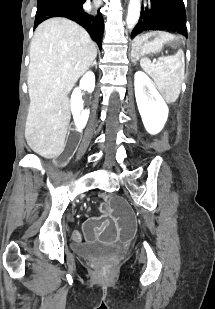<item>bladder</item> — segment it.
Here are the masks:
<instances>
[{"label": "bladder", "instance_id": "31cf9c89", "mask_svg": "<svg viewBox=\"0 0 215 309\" xmlns=\"http://www.w3.org/2000/svg\"><path fill=\"white\" fill-rule=\"evenodd\" d=\"M72 250L78 257L89 261L111 260L120 255L119 249L101 244H74Z\"/></svg>", "mask_w": 215, "mask_h": 309}]
</instances>
